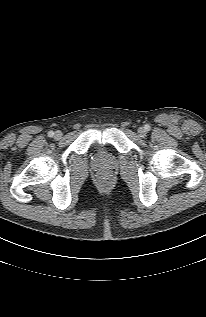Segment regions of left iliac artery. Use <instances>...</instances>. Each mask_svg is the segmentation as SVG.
<instances>
[{
	"instance_id": "44dca946",
	"label": "left iliac artery",
	"mask_w": 206,
	"mask_h": 317,
	"mask_svg": "<svg viewBox=\"0 0 206 317\" xmlns=\"http://www.w3.org/2000/svg\"><path fill=\"white\" fill-rule=\"evenodd\" d=\"M145 129H146V131H149L150 130V126L148 124L145 125Z\"/></svg>"
}]
</instances>
